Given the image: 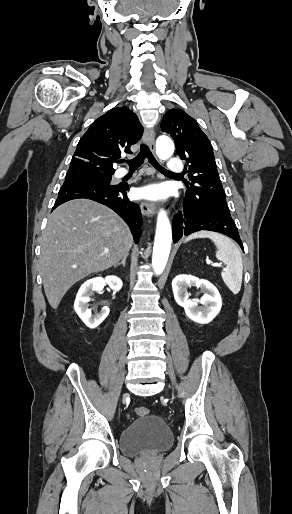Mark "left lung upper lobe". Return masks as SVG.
Masks as SVG:
<instances>
[{
    "label": "left lung upper lobe",
    "mask_w": 292,
    "mask_h": 514,
    "mask_svg": "<svg viewBox=\"0 0 292 514\" xmlns=\"http://www.w3.org/2000/svg\"><path fill=\"white\" fill-rule=\"evenodd\" d=\"M161 130L171 135L177 154L186 160V195L228 208L212 145L198 123L183 110L172 109L164 114Z\"/></svg>",
    "instance_id": "1"
}]
</instances>
